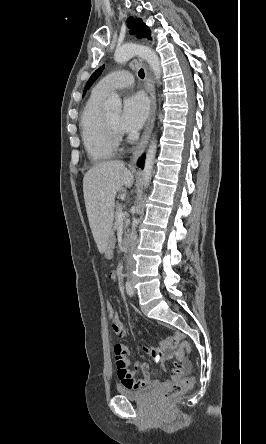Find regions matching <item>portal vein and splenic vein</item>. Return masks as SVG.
I'll return each instance as SVG.
<instances>
[{
  "instance_id": "18ae733b",
  "label": "portal vein and splenic vein",
  "mask_w": 266,
  "mask_h": 444,
  "mask_svg": "<svg viewBox=\"0 0 266 444\" xmlns=\"http://www.w3.org/2000/svg\"><path fill=\"white\" fill-rule=\"evenodd\" d=\"M117 218H118V220H123L124 213L122 211H119L118 214H117Z\"/></svg>"
}]
</instances>
